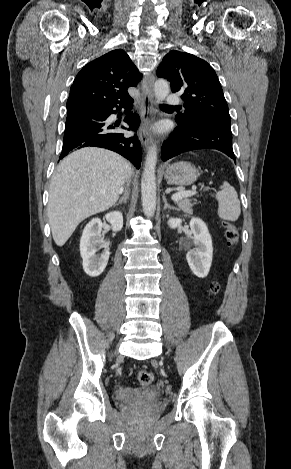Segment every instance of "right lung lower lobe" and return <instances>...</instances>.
<instances>
[{
  "label": "right lung lower lobe",
  "mask_w": 291,
  "mask_h": 469,
  "mask_svg": "<svg viewBox=\"0 0 291 469\" xmlns=\"http://www.w3.org/2000/svg\"><path fill=\"white\" fill-rule=\"evenodd\" d=\"M132 102H97L68 112L60 159L82 147H102L121 154L139 169L142 150L137 137H127L119 131L126 129L124 126L119 127V123L108 119L111 114L120 115L119 111L124 108L127 114L124 121L129 130L136 131L140 119L136 113H129Z\"/></svg>",
  "instance_id": "98d812e1"
}]
</instances>
